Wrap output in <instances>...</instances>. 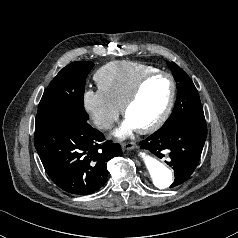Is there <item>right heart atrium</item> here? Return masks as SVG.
Segmentation results:
<instances>
[{"instance_id":"d8ad5b80","label":"right heart atrium","mask_w":238,"mask_h":238,"mask_svg":"<svg viewBox=\"0 0 238 238\" xmlns=\"http://www.w3.org/2000/svg\"><path fill=\"white\" fill-rule=\"evenodd\" d=\"M83 106L92 122L101 130L110 129L120 112V109L112 104L99 89H89L84 92Z\"/></svg>"}]
</instances>
